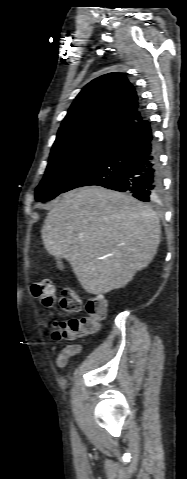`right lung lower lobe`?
<instances>
[{
	"mask_svg": "<svg viewBox=\"0 0 187 479\" xmlns=\"http://www.w3.org/2000/svg\"><path fill=\"white\" fill-rule=\"evenodd\" d=\"M98 185L149 202L163 189L162 174L150 123L143 118L114 141L98 158L79 172L62 191Z\"/></svg>",
	"mask_w": 187,
	"mask_h": 479,
	"instance_id": "right-lung-lower-lobe-1",
	"label": "right lung lower lobe"
}]
</instances>
